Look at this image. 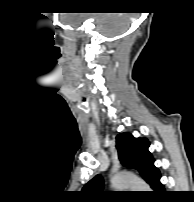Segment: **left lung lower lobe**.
Instances as JSON below:
<instances>
[{"instance_id":"0a47b994","label":"left lung lower lobe","mask_w":194,"mask_h":202,"mask_svg":"<svg viewBox=\"0 0 194 202\" xmlns=\"http://www.w3.org/2000/svg\"><path fill=\"white\" fill-rule=\"evenodd\" d=\"M150 186L153 188L155 193H163L164 192V186L160 182V174H158L153 182L150 184Z\"/></svg>"}]
</instances>
